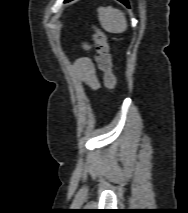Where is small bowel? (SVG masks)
Returning <instances> with one entry per match:
<instances>
[{
  "label": "small bowel",
  "instance_id": "obj_1",
  "mask_svg": "<svg viewBox=\"0 0 188 213\" xmlns=\"http://www.w3.org/2000/svg\"><path fill=\"white\" fill-rule=\"evenodd\" d=\"M76 69L81 80L92 90L100 87L96 68L89 57H81L76 61Z\"/></svg>",
  "mask_w": 188,
  "mask_h": 213
}]
</instances>
